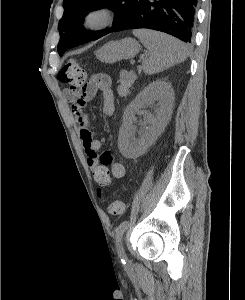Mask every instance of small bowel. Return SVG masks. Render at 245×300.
<instances>
[{
    "label": "small bowel",
    "instance_id": "c3829d8e",
    "mask_svg": "<svg viewBox=\"0 0 245 300\" xmlns=\"http://www.w3.org/2000/svg\"><path fill=\"white\" fill-rule=\"evenodd\" d=\"M99 96L103 112L112 115L114 111V94L111 88V78L107 74L94 75L82 89L78 98L72 102L71 112L78 126L87 161L92 168L98 188H109L111 176L123 178L126 174L125 166L114 161L110 152L101 151L103 143L92 129L88 116L83 108Z\"/></svg>",
    "mask_w": 245,
    "mask_h": 300
}]
</instances>
